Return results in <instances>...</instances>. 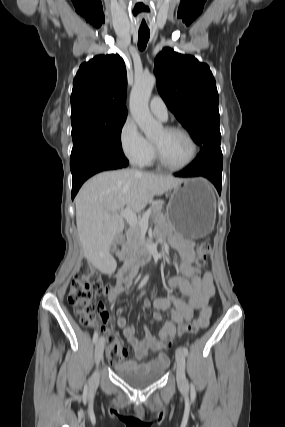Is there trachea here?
<instances>
[{"instance_id":"obj_1","label":"trachea","mask_w":285,"mask_h":427,"mask_svg":"<svg viewBox=\"0 0 285 427\" xmlns=\"http://www.w3.org/2000/svg\"><path fill=\"white\" fill-rule=\"evenodd\" d=\"M150 37V31H139L138 33V48L143 51Z\"/></svg>"}]
</instances>
